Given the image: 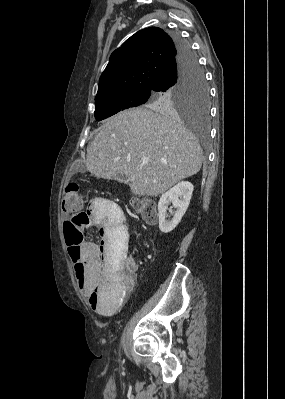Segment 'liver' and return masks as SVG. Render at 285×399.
Masks as SVG:
<instances>
[{
  "label": "liver",
  "instance_id": "obj_1",
  "mask_svg": "<svg viewBox=\"0 0 285 399\" xmlns=\"http://www.w3.org/2000/svg\"><path fill=\"white\" fill-rule=\"evenodd\" d=\"M203 153L174 114L122 111L101 126L87 150V170L100 178L127 177L133 194L157 196L199 172Z\"/></svg>",
  "mask_w": 285,
  "mask_h": 399
}]
</instances>
